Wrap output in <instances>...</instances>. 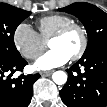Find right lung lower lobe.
<instances>
[{
  "mask_svg": "<svg viewBox=\"0 0 107 107\" xmlns=\"http://www.w3.org/2000/svg\"><path fill=\"white\" fill-rule=\"evenodd\" d=\"M27 61L0 58V107H28L33 94V84L40 75H20L11 78L15 71H22ZM9 74V75H8ZM8 75V76H6Z\"/></svg>",
  "mask_w": 107,
  "mask_h": 107,
  "instance_id": "98d812e1",
  "label": "right lung lower lobe"
}]
</instances>
